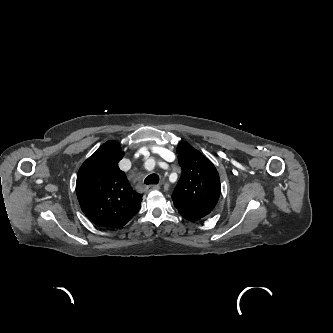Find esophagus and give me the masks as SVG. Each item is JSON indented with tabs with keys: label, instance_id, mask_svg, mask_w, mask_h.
Masks as SVG:
<instances>
[{
	"label": "esophagus",
	"instance_id": "1",
	"mask_svg": "<svg viewBox=\"0 0 333 333\" xmlns=\"http://www.w3.org/2000/svg\"><path fill=\"white\" fill-rule=\"evenodd\" d=\"M160 189V186L159 185H148L146 187V191L147 192H150V191H153V190H159Z\"/></svg>",
	"mask_w": 333,
	"mask_h": 333
}]
</instances>
